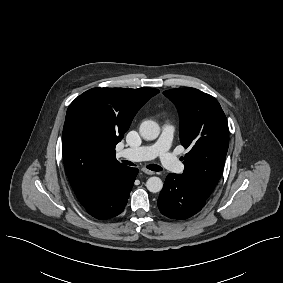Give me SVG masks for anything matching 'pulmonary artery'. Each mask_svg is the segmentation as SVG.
<instances>
[{"mask_svg": "<svg viewBox=\"0 0 283 283\" xmlns=\"http://www.w3.org/2000/svg\"><path fill=\"white\" fill-rule=\"evenodd\" d=\"M175 132V127L171 123L162 126V132L157 141L136 148L122 150L120 156L133 160H151L159 157L162 165L177 174L184 170L183 163L170 151L171 141Z\"/></svg>", "mask_w": 283, "mask_h": 283, "instance_id": "e3ab8cb5", "label": "pulmonary artery"}]
</instances>
